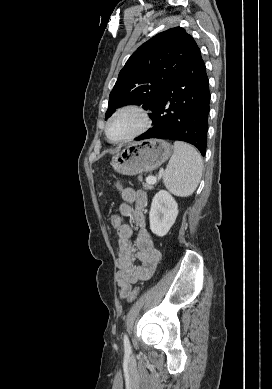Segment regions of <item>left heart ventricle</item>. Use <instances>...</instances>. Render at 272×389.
<instances>
[{
  "label": "left heart ventricle",
  "mask_w": 272,
  "mask_h": 389,
  "mask_svg": "<svg viewBox=\"0 0 272 389\" xmlns=\"http://www.w3.org/2000/svg\"><path fill=\"white\" fill-rule=\"evenodd\" d=\"M139 124L140 118L135 113H122L112 121L109 128L110 137L114 140L122 139L135 131Z\"/></svg>",
  "instance_id": "obj_1"
}]
</instances>
